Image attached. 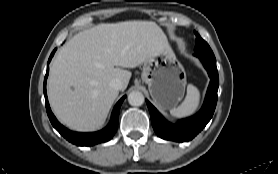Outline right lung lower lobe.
<instances>
[{
    "instance_id": "obj_1",
    "label": "right lung lower lobe",
    "mask_w": 278,
    "mask_h": 174,
    "mask_svg": "<svg viewBox=\"0 0 278 174\" xmlns=\"http://www.w3.org/2000/svg\"><path fill=\"white\" fill-rule=\"evenodd\" d=\"M54 52H55V50L52 52L48 63L50 62ZM48 73H49V68L47 67V73H46L45 80H44V96H45V105H46L47 114H48V117H49L53 127L63 137H65L69 142L76 144L78 146H91V145H95V144H98L101 142L109 141L117 130L119 111H120V107H121V104H122L125 96L122 97L118 101V103L115 105L113 112H112L110 123L108 124V126L106 128H104L101 131L93 132V133L72 132V131L68 130L67 128H65L64 126H62L57 121V119L55 118L53 113L51 112V109H50V106L48 103L47 94H46V80H47Z\"/></svg>"
}]
</instances>
